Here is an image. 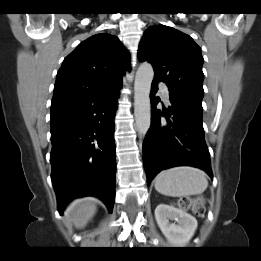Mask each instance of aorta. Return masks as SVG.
Returning <instances> with one entry per match:
<instances>
[{
    "mask_svg": "<svg viewBox=\"0 0 261 261\" xmlns=\"http://www.w3.org/2000/svg\"><path fill=\"white\" fill-rule=\"evenodd\" d=\"M154 71L149 63H142L135 76L134 115L137 130L145 136L151 124L150 91Z\"/></svg>",
    "mask_w": 261,
    "mask_h": 261,
    "instance_id": "obj_1",
    "label": "aorta"
}]
</instances>
